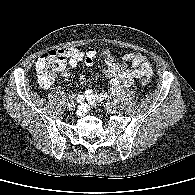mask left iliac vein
Returning <instances> with one entry per match:
<instances>
[{
  "label": "left iliac vein",
  "instance_id": "obj_1",
  "mask_svg": "<svg viewBox=\"0 0 195 195\" xmlns=\"http://www.w3.org/2000/svg\"><path fill=\"white\" fill-rule=\"evenodd\" d=\"M106 109L109 112H116L117 111V106L114 103H106Z\"/></svg>",
  "mask_w": 195,
  "mask_h": 195
}]
</instances>
